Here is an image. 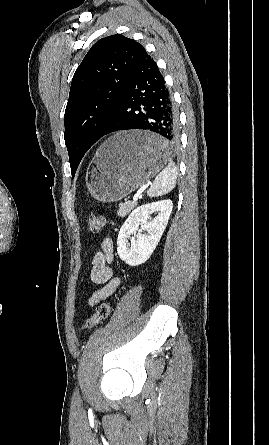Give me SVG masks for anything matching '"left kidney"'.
I'll return each instance as SVG.
<instances>
[{"instance_id":"1","label":"left kidney","mask_w":269,"mask_h":445,"mask_svg":"<svg viewBox=\"0 0 269 445\" xmlns=\"http://www.w3.org/2000/svg\"><path fill=\"white\" fill-rule=\"evenodd\" d=\"M172 209L171 200L152 202L136 208L119 231L117 252L120 259L130 266L146 262L163 235ZM152 213H157V216L151 218ZM139 225L146 231L145 234L138 232ZM133 234L136 240L130 245L128 239Z\"/></svg>"}]
</instances>
